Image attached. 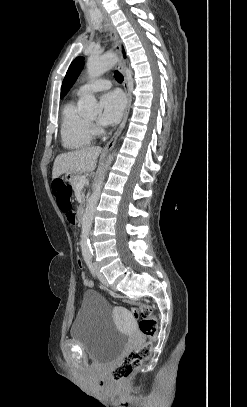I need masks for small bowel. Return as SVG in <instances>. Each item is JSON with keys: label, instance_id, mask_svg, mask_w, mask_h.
<instances>
[{"label": "small bowel", "instance_id": "obj_1", "mask_svg": "<svg viewBox=\"0 0 247 407\" xmlns=\"http://www.w3.org/2000/svg\"><path fill=\"white\" fill-rule=\"evenodd\" d=\"M65 216L70 224H74L76 222V216L73 210L70 213L66 214ZM78 263L79 265H81L80 261ZM81 277L85 286L91 287L93 285V282L87 277L85 273H82Z\"/></svg>", "mask_w": 247, "mask_h": 407}]
</instances>
